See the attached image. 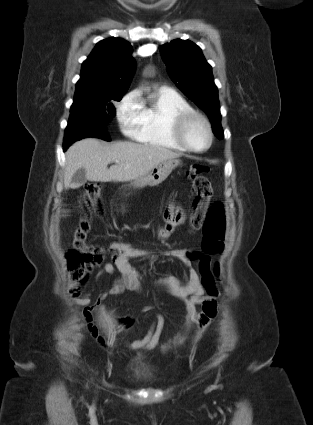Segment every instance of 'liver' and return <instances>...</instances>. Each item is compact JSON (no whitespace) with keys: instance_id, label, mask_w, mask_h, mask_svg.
<instances>
[{"instance_id":"6515ba94","label":"liver","mask_w":313,"mask_h":425,"mask_svg":"<svg viewBox=\"0 0 313 425\" xmlns=\"http://www.w3.org/2000/svg\"><path fill=\"white\" fill-rule=\"evenodd\" d=\"M178 157V153L160 146L133 142L107 145L95 138L82 139L66 152L64 188L75 189L80 186L71 183L74 173L80 168L85 170L89 181L125 182L146 174L164 160ZM114 160L119 163L108 169V164Z\"/></svg>"}]
</instances>
